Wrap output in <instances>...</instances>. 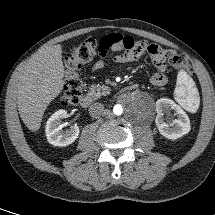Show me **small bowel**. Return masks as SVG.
<instances>
[{
  "mask_svg": "<svg viewBox=\"0 0 215 215\" xmlns=\"http://www.w3.org/2000/svg\"><path fill=\"white\" fill-rule=\"evenodd\" d=\"M99 58L92 65L90 72L96 73L106 65V55L108 51L117 53L113 60L116 63H130L139 59L143 54H148L157 72L150 78L152 85L162 87L166 85L168 79L167 71V52L157 44L146 41H136L131 36L121 34H109L100 41Z\"/></svg>",
  "mask_w": 215,
  "mask_h": 215,
  "instance_id": "small-bowel-1",
  "label": "small bowel"
}]
</instances>
